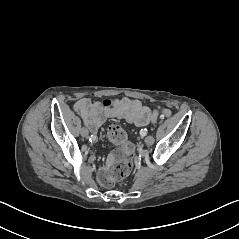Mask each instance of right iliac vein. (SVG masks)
I'll return each instance as SVG.
<instances>
[{"label": "right iliac vein", "mask_w": 239, "mask_h": 239, "mask_svg": "<svg viewBox=\"0 0 239 239\" xmlns=\"http://www.w3.org/2000/svg\"><path fill=\"white\" fill-rule=\"evenodd\" d=\"M80 133H81V136H83V137H88V134H89L87 128H85V127H83L81 129Z\"/></svg>", "instance_id": "63e3f726"}]
</instances>
